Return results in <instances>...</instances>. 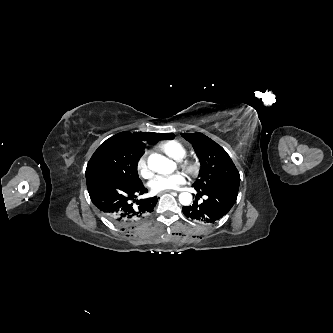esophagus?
I'll return each instance as SVG.
<instances>
[{
  "label": "esophagus",
  "instance_id": "obj_1",
  "mask_svg": "<svg viewBox=\"0 0 333 333\" xmlns=\"http://www.w3.org/2000/svg\"><path fill=\"white\" fill-rule=\"evenodd\" d=\"M166 192H173V191L172 190H167V191L161 192L160 194H163V193H166Z\"/></svg>",
  "mask_w": 333,
  "mask_h": 333
}]
</instances>
